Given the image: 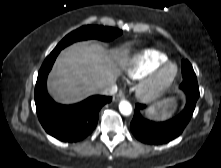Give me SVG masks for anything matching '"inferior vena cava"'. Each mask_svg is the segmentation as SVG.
Returning a JSON list of instances; mask_svg holds the SVG:
<instances>
[{
    "instance_id": "inferior-vena-cava-1",
    "label": "inferior vena cava",
    "mask_w": 221,
    "mask_h": 168,
    "mask_svg": "<svg viewBox=\"0 0 221 168\" xmlns=\"http://www.w3.org/2000/svg\"><path fill=\"white\" fill-rule=\"evenodd\" d=\"M117 85L113 82L100 90V94L111 96L117 93Z\"/></svg>"
}]
</instances>
